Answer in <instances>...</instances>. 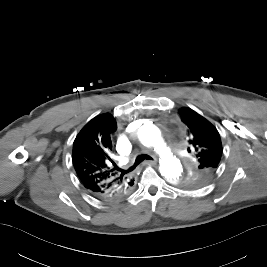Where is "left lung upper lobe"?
Listing matches in <instances>:
<instances>
[{"label": "left lung upper lobe", "instance_id": "left-lung-upper-lobe-1", "mask_svg": "<svg viewBox=\"0 0 267 267\" xmlns=\"http://www.w3.org/2000/svg\"><path fill=\"white\" fill-rule=\"evenodd\" d=\"M179 114L187 126L189 152L196 156L194 165L180 186L195 189L205 186L214 177L222 155V143L217 129L204 117L190 108H181Z\"/></svg>", "mask_w": 267, "mask_h": 267}]
</instances>
